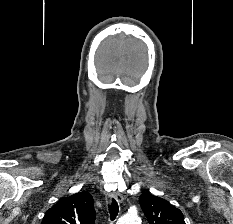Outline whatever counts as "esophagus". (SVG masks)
Masks as SVG:
<instances>
[{"instance_id": "obj_1", "label": "esophagus", "mask_w": 233, "mask_h": 224, "mask_svg": "<svg viewBox=\"0 0 233 224\" xmlns=\"http://www.w3.org/2000/svg\"><path fill=\"white\" fill-rule=\"evenodd\" d=\"M113 197H114V199H115L118 203H122V202H123V196H122L121 193L115 192Z\"/></svg>"}]
</instances>
